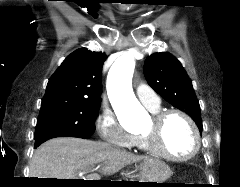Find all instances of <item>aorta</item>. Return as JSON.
<instances>
[{
    "label": "aorta",
    "mask_w": 240,
    "mask_h": 187,
    "mask_svg": "<svg viewBox=\"0 0 240 187\" xmlns=\"http://www.w3.org/2000/svg\"><path fill=\"white\" fill-rule=\"evenodd\" d=\"M135 60L128 53L118 58L111 66L107 76V94L119 120L125 116L138 122L147 117V113L135 97L132 89V77Z\"/></svg>",
    "instance_id": "1"
}]
</instances>
